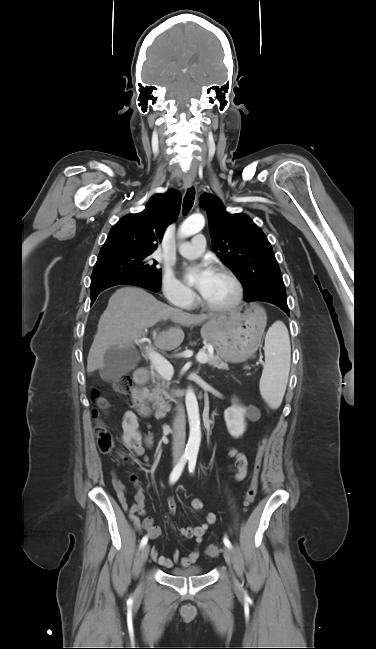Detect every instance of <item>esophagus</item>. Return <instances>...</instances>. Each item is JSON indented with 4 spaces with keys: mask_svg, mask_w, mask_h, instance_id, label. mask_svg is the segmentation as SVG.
I'll return each instance as SVG.
<instances>
[{
    "mask_svg": "<svg viewBox=\"0 0 376 649\" xmlns=\"http://www.w3.org/2000/svg\"><path fill=\"white\" fill-rule=\"evenodd\" d=\"M192 185H193L192 181H185L184 184H183V187L185 189H187V188L192 187Z\"/></svg>",
    "mask_w": 376,
    "mask_h": 649,
    "instance_id": "obj_1",
    "label": "esophagus"
}]
</instances>
